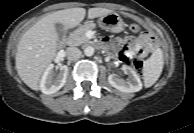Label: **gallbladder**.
<instances>
[{
  "mask_svg": "<svg viewBox=\"0 0 194 133\" xmlns=\"http://www.w3.org/2000/svg\"><path fill=\"white\" fill-rule=\"evenodd\" d=\"M55 29H56V32L58 34V37L59 39H62L65 35V29H64V26L60 23H56L55 24Z\"/></svg>",
  "mask_w": 194,
  "mask_h": 133,
  "instance_id": "1",
  "label": "gallbladder"
}]
</instances>
